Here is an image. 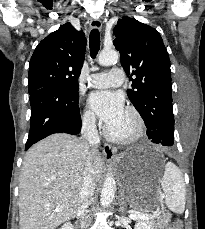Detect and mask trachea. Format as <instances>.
I'll return each instance as SVG.
<instances>
[{"label": "trachea", "instance_id": "obj_1", "mask_svg": "<svg viewBox=\"0 0 205 229\" xmlns=\"http://www.w3.org/2000/svg\"><path fill=\"white\" fill-rule=\"evenodd\" d=\"M90 55L94 59L100 49V34L97 29H93L89 36Z\"/></svg>", "mask_w": 205, "mask_h": 229}]
</instances>
